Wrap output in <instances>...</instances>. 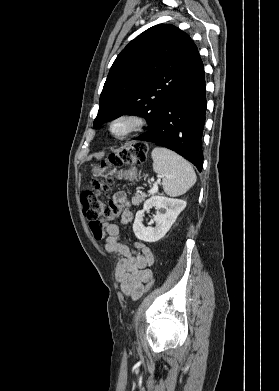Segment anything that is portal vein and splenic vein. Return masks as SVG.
Returning a JSON list of instances; mask_svg holds the SVG:
<instances>
[{"mask_svg": "<svg viewBox=\"0 0 279 391\" xmlns=\"http://www.w3.org/2000/svg\"><path fill=\"white\" fill-rule=\"evenodd\" d=\"M158 183H155L154 185H153V187L149 190V193H152V194H154V193H156L157 191H158V185H157Z\"/></svg>", "mask_w": 279, "mask_h": 391, "instance_id": "1", "label": "portal vein and splenic vein"}]
</instances>
